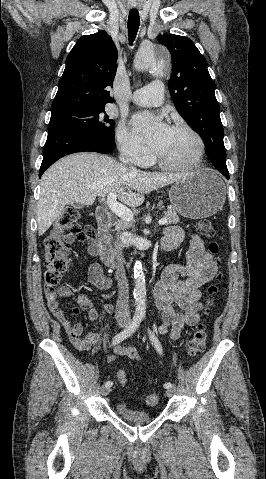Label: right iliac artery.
Here are the masks:
<instances>
[{
	"instance_id": "right-iliac-artery-1",
	"label": "right iliac artery",
	"mask_w": 266,
	"mask_h": 479,
	"mask_svg": "<svg viewBox=\"0 0 266 479\" xmlns=\"http://www.w3.org/2000/svg\"><path fill=\"white\" fill-rule=\"evenodd\" d=\"M141 320H142L141 315H138V314L134 315L129 325L113 338V341H112L113 345L118 344L122 342L124 339H126L127 337L131 336L140 325ZM112 385L113 383L111 381H107L105 383V386H108V387H111Z\"/></svg>"
}]
</instances>
